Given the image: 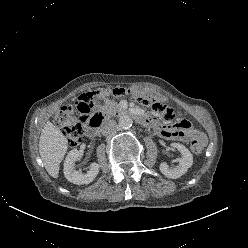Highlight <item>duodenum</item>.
I'll return each mask as SVG.
<instances>
[{"mask_svg":"<svg viewBox=\"0 0 248 248\" xmlns=\"http://www.w3.org/2000/svg\"><path fill=\"white\" fill-rule=\"evenodd\" d=\"M113 115H130L132 116L135 120L138 122L147 125V126H152L154 124L153 119L144 116L136 111L124 109V108H117L112 114L109 115H98L94 117L91 122L89 127L87 128V134L90 137H94L98 134L100 127L102 124L107 121L109 118H111Z\"/></svg>","mask_w":248,"mask_h":248,"instance_id":"1","label":"duodenum"}]
</instances>
